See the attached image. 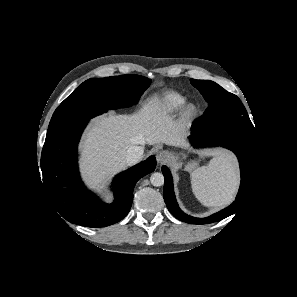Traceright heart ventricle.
Returning a JSON list of instances; mask_svg holds the SVG:
<instances>
[{
	"label": "right heart ventricle",
	"mask_w": 297,
	"mask_h": 297,
	"mask_svg": "<svg viewBox=\"0 0 297 297\" xmlns=\"http://www.w3.org/2000/svg\"><path fill=\"white\" fill-rule=\"evenodd\" d=\"M186 103L187 99L181 94L168 92L158 99L156 112L160 115L176 113L181 110Z\"/></svg>",
	"instance_id": "1"
}]
</instances>
